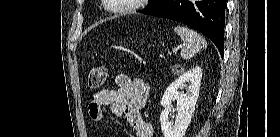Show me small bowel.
Masks as SVG:
<instances>
[{"mask_svg":"<svg viewBox=\"0 0 280 137\" xmlns=\"http://www.w3.org/2000/svg\"><path fill=\"white\" fill-rule=\"evenodd\" d=\"M116 88H103L94 92L88 104L92 121L100 122L103 107L110 106L113 116L127 119L136 137H151L152 127L145 121L141 109L149 97V86L141 78H131L119 73L115 76Z\"/></svg>","mask_w":280,"mask_h":137,"instance_id":"obj_1","label":"small bowel"}]
</instances>
